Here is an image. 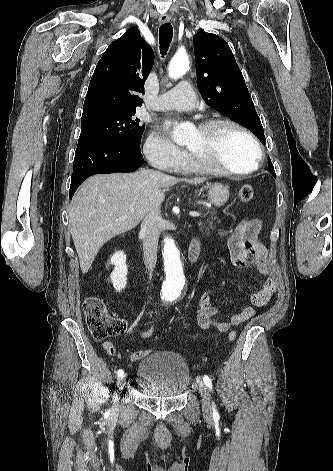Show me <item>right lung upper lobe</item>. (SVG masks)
I'll return each instance as SVG.
<instances>
[{"instance_id": "obj_1", "label": "right lung upper lobe", "mask_w": 333, "mask_h": 471, "mask_svg": "<svg viewBox=\"0 0 333 471\" xmlns=\"http://www.w3.org/2000/svg\"><path fill=\"white\" fill-rule=\"evenodd\" d=\"M154 53L137 27L109 45L99 60L86 94L82 118L141 106L138 96L152 69Z\"/></svg>"}]
</instances>
